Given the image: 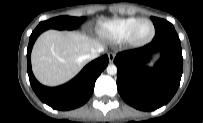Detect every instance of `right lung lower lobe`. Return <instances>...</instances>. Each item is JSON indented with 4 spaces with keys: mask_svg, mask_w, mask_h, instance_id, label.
Returning <instances> with one entry per match:
<instances>
[{
    "mask_svg": "<svg viewBox=\"0 0 203 123\" xmlns=\"http://www.w3.org/2000/svg\"><path fill=\"white\" fill-rule=\"evenodd\" d=\"M42 30L35 29L27 49L28 76L32 89L45 104L57 110H70L85 104L93 93L97 77L108 65V56L104 55L83 68V70L68 83L58 87L41 85L34 77L31 68V50Z\"/></svg>",
    "mask_w": 203,
    "mask_h": 123,
    "instance_id": "1",
    "label": "right lung lower lobe"
}]
</instances>
